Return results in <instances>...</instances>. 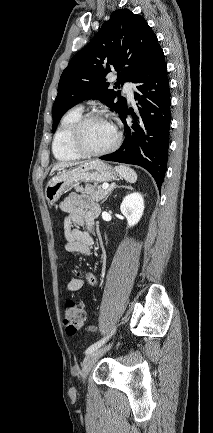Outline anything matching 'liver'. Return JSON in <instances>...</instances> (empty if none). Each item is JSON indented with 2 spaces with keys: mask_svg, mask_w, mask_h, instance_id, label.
I'll use <instances>...</instances> for the list:
<instances>
[{
  "mask_svg": "<svg viewBox=\"0 0 213 433\" xmlns=\"http://www.w3.org/2000/svg\"><path fill=\"white\" fill-rule=\"evenodd\" d=\"M77 164H79V163H59V164L55 165L52 168L51 172H54V171H56L58 169H64V168H67V167H70V166H73V165H77Z\"/></svg>",
  "mask_w": 213,
  "mask_h": 433,
  "instance_id": "1",
  "label": "liver"
}]
</instances>
